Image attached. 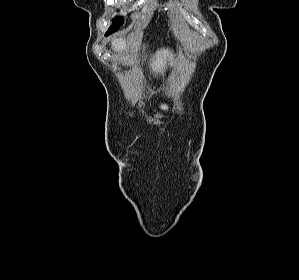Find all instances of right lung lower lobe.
Here are the masks:
<instances>
[{"label":"right lung lower lobe","mask_w":299,"mask_h":280,"mask_svg":"<svg viewBox=\"0 0 299 280\" xmlns=\"http://www.w3.org/2000/svg\"><path fill=\"white\" fill-rule=\"evenodd\" d=\"M109 34H111V32H110V31H108V32L106 33V35H109Z\"/></svg>","instance_id":"right-lung-lower-lobe-1"}]
</instances>
